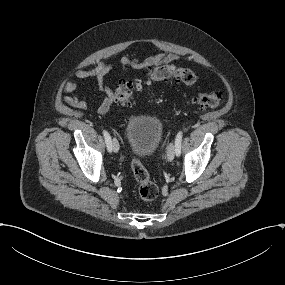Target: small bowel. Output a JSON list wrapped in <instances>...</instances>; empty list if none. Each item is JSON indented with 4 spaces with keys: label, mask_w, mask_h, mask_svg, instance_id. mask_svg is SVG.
Instances as JSON below:
<instances>
[{
    "label": "small bowel",
    "mask_w": 285,
    "mask_h": 285,
    "mask_svg": "<svg viewBox=\"0 0 285 285\" xmlns=\"http://www.w3.org/2000/svg\"><path fill=\"white\" fill-rule=\"evenodd\" d=\"M177 59H179L178 54L166 51L151 54L145 59L124 56L120 59V67L123 73H127L130 69H148L169 64ZM113 66V63L110 61L100 60L93 68H78L75 73L79 79H93L98 90L103 94L97 107V112L100 115L107 113L114 102V92L108 83V75L112 71ZM62 88L66 93H73L77 90L78 85L73 81H65ZM63 100L74 108L81 110H87L89 108V104L76 95L64 96Z\"/></svg>",
    "instance_id": "1"
}]
</instances>
